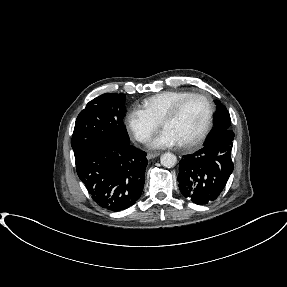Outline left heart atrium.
I'll return each mask as SVG.
<instances>
[{
    "instance_id": "1",
    "label": "left heart atrium",
    "mask_w": 287,
    "mask_h": 287,
    "mask_svg": "<svg viewBox=\"0 0 287 287\" xmlns=\"http://www.w3.org/2000/svg\"><path fill=\"white\" fill-rule=\"evenodd\" d=\"M179 144L180 140L169 129L161 130L150 142L152 148H169Z\"/></svg>"
}]
</instances>
